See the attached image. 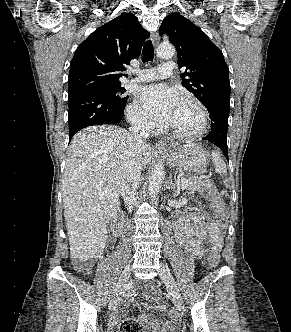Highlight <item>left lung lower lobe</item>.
I'll use <instances>...</instances> for the list:
<instances>
[{"instance_id":"left-lung-lower-lobe-1","label":"left lung lower lobe","mask_w":291,"mask_h":332,"mask_svg":"<svg viewBox=\"0 0 291 332\" xmlns=\"http://www.w3.org/2000/svg\"><path fill=\"white\" fill-rule=\"evenodd\" d=\"M207 109L212 120V130L204 140L210 141L219 147L228 160L227 129L230 99H217Z\"/></svg>"}]
</instances>
